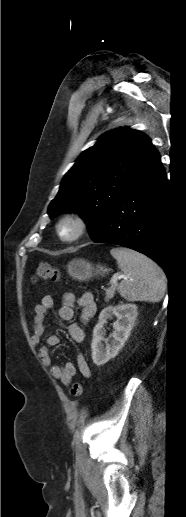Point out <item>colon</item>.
Listing matches in <instances>:
<instances>
[{
	"label": "colon",
	"mask_w": 186,
	"mask_h": 517,
	"mask_svg": "<svg viewBox=\"0 0 186 517\" xmlns=\"http://www.w3.org/2000/svg\"><path fill=\"white\" fill-rule=\"evenodd\" d=\"M60 271L47 263H42L38 266L35 272L34 280L43 281L51 280L58 281L60 279ZM70 393L73 397H80L83 393L82 384L78 381L74 382L70 388Z\"/></svg>",
	"instance_id": "obj_1"
}]
</instances>
